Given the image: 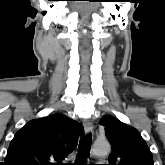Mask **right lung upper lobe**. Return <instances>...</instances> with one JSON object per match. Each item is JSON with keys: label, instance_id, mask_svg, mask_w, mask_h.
I'll use <instances>...</instances> for the list:
<instances>
[{"label": "right lung upper lobe", "instance_id": "1", "mask_svg": "<svg viewBox=\"0 0 165 165\" xmlns=\"http://www.w3.org/2000/svg\"><path fill=\"white\" fill-rule=\"evenodd\" d=\"M82 133L80 123L62 114L31 120L15 134L3 165L61 164Z\"/></svg>", "mask_w": 165, "mask_h": 165}]
</instances>
